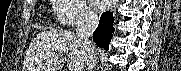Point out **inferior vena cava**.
Wrapping results in <instances>:
<instances>
[{
    "mask_svg": "<svg viewBox=\"0 0 181 71\" xmlns=\"http://www.w3.org/2000/svg\"><path fill=\"white\" fill-rule=\"evenodd\" d=\"M98 22L99 18L96 14L86 12L80 18L76 28L77 39L79 43L83 46L87 54V71H92L97 64L96 50L92 41L90 40V37L97 28Z\"/></svg>",
    "mask_w": 181,
    "mask_h": 71,
    "instance_id": "inferior-vena-cava-1",
    "label": "inferior vena cava"
}]
</instances>
